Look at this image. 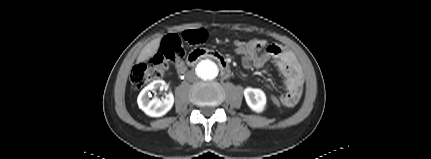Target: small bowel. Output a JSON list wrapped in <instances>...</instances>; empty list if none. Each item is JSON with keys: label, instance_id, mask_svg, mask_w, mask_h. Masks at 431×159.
Listing matches in <instances>:
<instances>
[{"label": "small bowel", "instance_id": "small-bowel-1", "mask_svg": "<svg viewBox=\"0 0 431 159\" xmlns=\"http://www.w3.org/2000/svg\"><path fill=\"white\" fill-rule=\"evenodd\" d=\"M234 46H243L244 53L241 56L245 68H262L272 62L277 71L283 77L286 92L277 98V105L286 110L294 107L302 95L304 77L303 72L294 54L281 45L269 43L265 39H252L244 42L236 40ZM178 71H184L185 65L178 61Z\"/></svg>", "mask_w": 431, "mask_h": 159}]
</instances>
